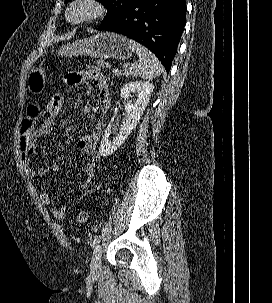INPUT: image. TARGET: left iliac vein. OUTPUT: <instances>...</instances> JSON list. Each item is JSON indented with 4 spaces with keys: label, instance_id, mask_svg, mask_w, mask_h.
I'll list each match as a JSON object with an SVG mask.
<instances>
[{
    "label": "left iliac vein",
    "instance_id": "left-iliac-vein-1",
    "mask_svg": "<svg viewBox=\"0 0 272 303\" xmlns=\"http://www.w3.org/2000/svg\"><path fill=\"white\" fill-rule=\"evenodd\" d=\"M102 246L96 245L90 262V274L97 276L101 270Z\"/></svg>",
    "mask_w": 272,
    "mask_h": 303
}]
</instances>
